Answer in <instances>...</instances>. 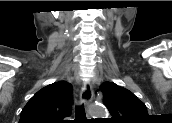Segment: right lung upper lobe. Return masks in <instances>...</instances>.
I'll use <instances>...</instances> for the list:
<instances>
[{
  "instance_id": "cb5924a9",
  "label": "right lung upper lobe",
  "mask_w": 172,
  "mask_h": 123,
  "mask_svg": "<svg viewBox=\"0 0 172 123\" xmlns=\"http://www.w3.org/2000/svg\"><path fill=\"white\" fill-rule=\"evenodd\" d=\"M71 92L66 81L45 86L25 105L19 123H64L71 114Z\"/></svg>"
}]
</instances>
